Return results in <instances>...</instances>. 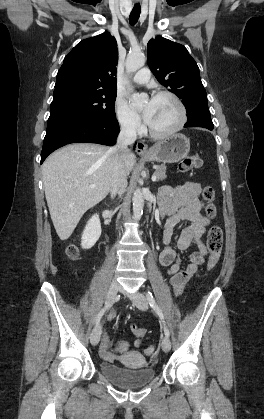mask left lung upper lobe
Listing matches in <instances>:
<instances>
[{"label": "left lung upper lobe", "instance_id": "left-lung-upper-lobe-1", "mask_svg": "<svg viewBox=\"0 0 264 419\" xmlns=\"http://www.w3.org/2000/svg\"><path fill=\"white\" fill-rule=\"evenodd\" d=\"M147 63L160 84L170 87L187 113L208 108L199 68L187 49L178 43L157 36L147 45Z\"/></svg>", "mask_w": 264, "mask_h": 419}]
</instances>
